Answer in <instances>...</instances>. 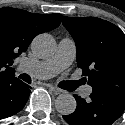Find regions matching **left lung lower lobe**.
<instances>
[{"mask_svg":"<svg viewBox=\"0 0 125 125\" xmlns=\"http://www.w3.org/2000/svg\"><path fill=\"white\" fill-rule=\"evenodd\" d=\"M76 110L63 115L70 125H112L125 110V95L113 92H92L86 101L74 95Z\"/></svg>","mask_w":125,"mask_h":125,"instance_id":"left-lung-lower-lobe-1","label":"left lung lower lobe"}]
</instances>
